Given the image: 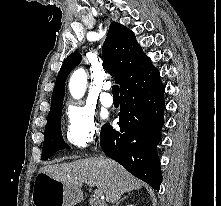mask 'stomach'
Segmentation results:
<instances>
[{
  "instance_id": "stomach-1",
  "label": "stomach",
  "mask_w": 221,
  "mask_h": 206,
  "mask_svg": "<svg viewBox=\"0 0 221 206\" xmlns=\"http://www.w3.org/2000/svg\"><path fill=\"white\" fill-rule=\"evenodd\" d=\"M82 199L79 188L39 173L32 193L34 206H74Z\"/></svg>"
}]
</instances>
